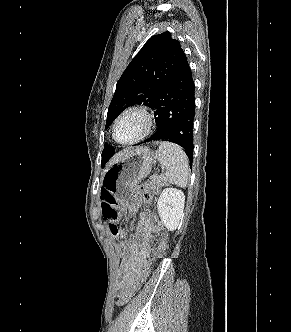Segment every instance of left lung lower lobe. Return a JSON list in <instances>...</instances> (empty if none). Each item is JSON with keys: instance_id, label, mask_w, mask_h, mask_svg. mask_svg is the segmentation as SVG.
I'll list each match as a JSON object with an SVG mask.
<instances>
[{"instance_id": "left-lung-lower-lobe-1", "label": "left lung lower lobe", "mask_w": 291, "mask_h": 332, "mask_svg": "<svg viewBox=\"0 0 291 332\" xmlns=\"http://www.w3.org/2000/svg\"><path fill=\"white\" fill-rule=\"evenodd\" d=\"M157 131L146 141L165 139L183 147L192 163L195 85L184 54L152 107Z\"/></svg>"}]
</instances>
